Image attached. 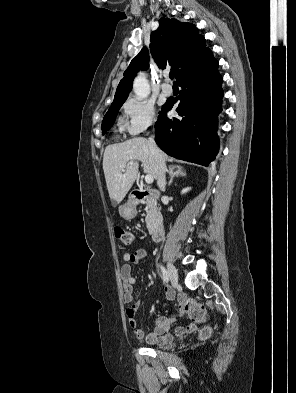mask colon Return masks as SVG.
<instances>
[{
  "label": "colon",
  "instance_id": "5ec220e1",
  "mask_svg": "<svg viewBox=\"0 0 296 393\" xmlns=\"http://www.w3.org/2000/svg\"><path fill=\"white\" fill-rule=\"evenodd\" d=\"M114 235L125 245H129L133 241L132 233L122 227H115ZM183 308L185 312L190 316V318L195 321H205L207 318L206 309L194 299L186 298L183 301ZM210 332L211 329L209 327H206L202 330L201 336L205 338L210 334Z\"/></svg>",
  "mask_w": 296,
  "mask_h": 393
}]
</instances>
